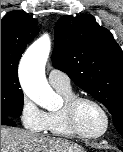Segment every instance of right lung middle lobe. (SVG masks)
I'll return each instance as SVG.
<instances>
[{"label":"right lung middle lobe","mask_w":123,"mask_h":152,"mask_svg":"<svg viewBox=\"0 0 123 152\" xmlns=\"http://www.w3.org/2000/svg\"><path fill=\"white\" fill-rule=\"evenodd\" d=\"M23 109V92L18 76L1 72V118H16Z\"/></svg>","instance_id":"right-lung-middle-lobe-1"}]
</instances>
